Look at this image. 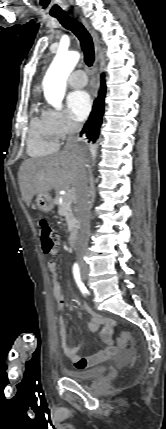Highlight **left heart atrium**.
<instances>
[{"mask_svg":"<svg viewBox=\"0 0 166 429\" xmlns=\"http://www.w3.org/2000/svg\"><path fill=\"white\" fill-rule=\"evenodd\" d=\"M70 116L76 121H83L91 110V98L84 90L72 92L67 98Z\"/></svg>","mask_w":166,"mask_h":429,"instance_id":"1","label":"left heart atrium"}]
</instances>
